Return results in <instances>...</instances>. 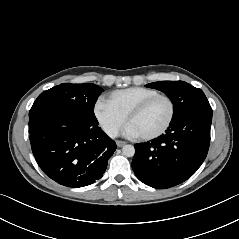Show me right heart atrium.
Wrapping results in <instances>:
<instances>
[{"instance_id": "d8ad5b80", "label": "right heart atrium", "mask_w": 239, "mask_h": 239, "mask_svg": "<svg viewBox=\"0 0 239 239\" xmlns=\"http://www.w3.org/2000/svg\"><path fill=\"white\" fill-rule=\"evenodd\" d=\"M95 117L110 137H115L124 126L126 116L109 105L105 100H98L94 106Z\"/></svg>"}]
</instances>
